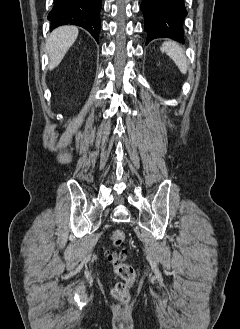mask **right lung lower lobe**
I'll use <instances>...</instances> for the list:
<instances>
[{"label":"right lung lower lobe","instance_id":"obj_1","mask_svg":"<svg viewBox=\"0 0 240 329\" xmlns=\"http://www.w3.org/2000/svg\"><path fill=\"white\" fill-rule=\"evenodd\" d=\"M101 0H54L48 15L51 30L62 25H77L86 29L98 42Z\"/></svg>","mask_w":240,"mask_h":329}]
</instances>
